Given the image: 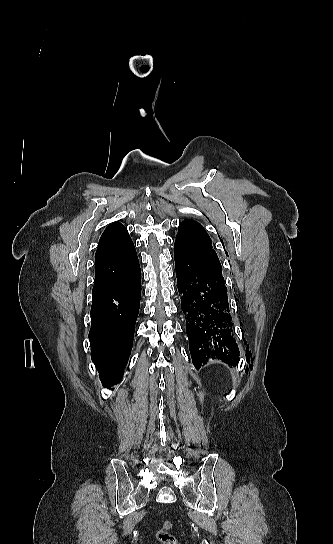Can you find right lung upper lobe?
Instances as JSON below:
<instances>
[{"label": "right lung upper lobe", "instance_id": "right-lung-upper-lobe-1", "mask_svg": "<svg viewBox=\"0 0 333 544\" xmlns=\"http://www.w3.org/2000/svg\"><path fill=\"white\" fill-rule=\"evenodd\" d=\"M95 262L93 291L113 283L138 262L133 242L121 223L115 222L105 229L99 240Z\"/></svg>", "mask_w": 333, "mask_h": 544}]
</instances>
